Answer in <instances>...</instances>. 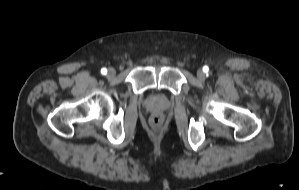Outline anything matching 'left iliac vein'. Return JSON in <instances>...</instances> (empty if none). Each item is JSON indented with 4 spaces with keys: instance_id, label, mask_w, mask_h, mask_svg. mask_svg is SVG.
Instances as JSON below:
<instances>
[{
    "instance_id": "left-iliac-vein-1",
    "label": "left iliac vein",
    "mask_w": 299,
    "mask_h": 190,
    "mask_svg": "<svg viewBox=\"0 0 299 190\" xmlns=\"http://www.w3.org/2000/svg\"><path fill=\"white\" fill-rule=\"evenodd\" d=\"M197 77H198V79H199L200 81H204L206 75H205V73H204L203 70H198V71H197Z\"/></svg>"
}]
</instances>
